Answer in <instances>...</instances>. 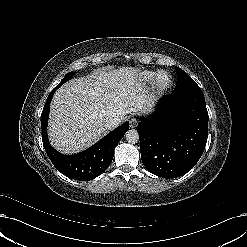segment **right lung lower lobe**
<instances>
[{
  "instance_id": "obj_1",
  "label": "right lung lower lobe",
  "mask_w": 247,
  "mask_h": 247,
  "mask_svg": "<svg viewBox=\"0 0 247 247\" xmlns=\"http://www.w3.org/2000/svg\"><path fill=\"white\" fill-rule=\"evenodd\" d=\"M55 87L49 94L41 114L42 141L54 167L65 176L80 181L92 180L101 175L111 164L114 149L129 129V122L119 126L89 149L74 155L57 152L49 143L47 123L49 107Z\"/></svg>"
}]
</instances>
